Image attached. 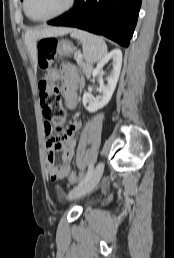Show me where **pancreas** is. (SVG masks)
<instances>
[{
  "instance_id": "cf45deb5",
  "label": "pancreas",
  "mask_w": 174,
  "mask_h": 258,
  "mask_svg": "<svg viewBox=\"0 0 174 258\" xmlns=\"http://www.w3.org/2000/svg\"><path fill=\"white\" fill-rule=\"evenodd\" d=\"M77 63L79 65V67L86 73V74H90V72L92 71V65L84 63L82 58L77 60Z\"/></svg>"
}]
</instances>
